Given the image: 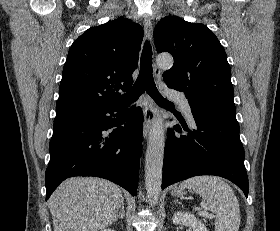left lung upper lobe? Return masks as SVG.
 <instances>
[{
  "label": "left lung upper lobe",
  "mask_w": 280,
  "mask_h": 231,
  "mask_svg": "<svg viewBox=\"0 0 280 231\" xmlns=\"http://www.w3.org/2000/svg\"><path fill=\"white\" fill-rule=\"evenodd\" d=\"M154 39L159 53L166 51L174 58L173 67L163 73L164 81L183 91L191 108L236 113L225 50L205 25L167 16L156 25Z\"/></svg>",
  "instance_id": "obj_1"
}]
</instances>
